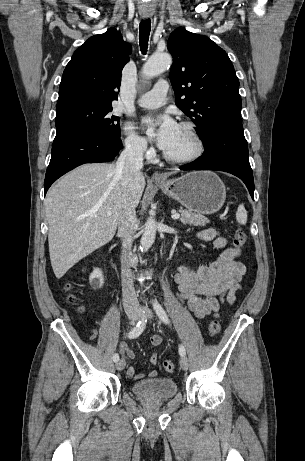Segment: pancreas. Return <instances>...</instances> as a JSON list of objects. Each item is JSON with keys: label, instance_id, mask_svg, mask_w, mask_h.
<instances>
[{"label": "pancreas", "instance_id": "obj_1", "mask_svg": "<svg viewBox=\"0 0 305 461\" xmlns=\"http://www.w3.org/2000/svg\"><path fill=\"white\" fill-rule=\"evenodd\" d=\"M179 213L181 215L180 221L185 225L205 226L209 222L205 216L193 213L189 210H184L183 208L179 209Z\"/></svg>", "mask_w": 305, "mask_h": 461}]
</instances>
